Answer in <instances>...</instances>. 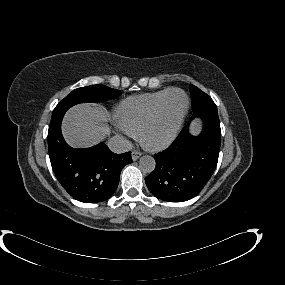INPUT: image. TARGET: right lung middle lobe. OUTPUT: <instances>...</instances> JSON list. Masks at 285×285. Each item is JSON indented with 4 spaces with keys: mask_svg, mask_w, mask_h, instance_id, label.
Listing matches in <instances>:
<instances>
[{
    "mask_svg": "<svg viewBox=\"0 0 285 285\" xmlns=\"http://www.w3.org/2000/svg\"><path fill=\"white\" fill-rule=\"evenodd\" d=\"M122 92L104 85H90L73 90L55 107L52 117L65 113L70 107L83 102H104L117 98Z\"/></svg>",
    "mask_w": 285,
    "mask_h": 285,
    "instance_id": "1",
    "label": "right lung middle lobe"
}]
</instances>
